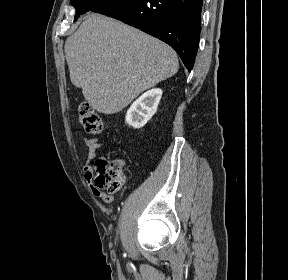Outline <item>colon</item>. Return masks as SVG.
Here are the masks:
<instances>
[{"label":"colon","instance_id":"obj_1","mask_svg":"<svg viewBox=\"0 0 288 280\" xmlns=\"http://www.w3.org/2000/svg\"><path fill=\"white\" fill-rule=\"evenodd\" d=\"M78 114L88 134L97 135L102 131V121L90 103L82 102ZM123 167L121 160H97L94 166V184L99 188H106L111 194L119 191L123 184Z\"/></svg>","mask_w":288,"mask_h":280}]
</instances>
